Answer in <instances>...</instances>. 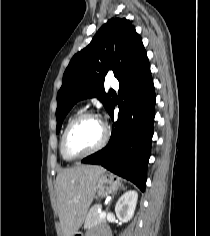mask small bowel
Returning a JSON list of instances; mask_svg holds the SVG:
<instances>
[{
	"instance_id": "1",
	"label": "small bowel",
	"mask_w": 210,
	"mask_h": 236,
	"mask_svg": "<svg viewBox=\"0 0 210 236\" xmlns=\"http://www.w3.org/2000/svg\"><path fill=\"white\" fill-rule=\"evenodd\" d=\"M88 236H110L107 230H100L98 232H91Z\"/></svg>"
}]
</instances>
